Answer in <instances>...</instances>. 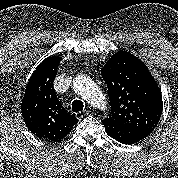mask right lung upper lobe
<instances>
[{"label": "right lung upper lobe", "mask_w": 178, "mask_h": 178, "mask_svg": "<svg viewBox=\"0 0 178 178\" xmlns=\"http://www.w3.org/2000/svg\"><path fill=\"white\" fill-rule=\"evenodd\" d=\"M61 60L59 56H52L40 63L29 79L21 104L28 129L49 142L61 141L78 121L61 105L53 87Z\"/></svg>", "instance_id": "1"}]
</instances>
